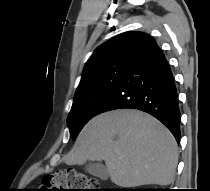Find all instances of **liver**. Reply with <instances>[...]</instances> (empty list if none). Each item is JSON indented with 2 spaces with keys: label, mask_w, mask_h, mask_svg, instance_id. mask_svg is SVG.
<instances>
[{
  "label": "liver",
  "mask_w": 210,
  "mask_h": 191,
  "mask_svg": "<svg viewBox=\"0 0 210 191\" xmlns=\"http://www.w3.org/2000/svg\"><path fill=\"white\" fill-rule=\"evenodd\" d=\"M104 160L111 181L120 187L169 185L178 163L171 132L138 110L120 109L92 118L79 134L67 165Z\"/></svg>",
  "instance_id": "obj_1"
}]
</instances>
